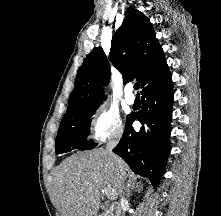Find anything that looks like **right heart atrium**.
<instances>
[{"label": "right heart atrium", "mask_w": 221, "mask_h": 216, "mask_svg": "<svg viewBox=\"0 0 221 216\" xmlns=\"http://www.w3.org/2000/svg\"><path fill=\"white\" fill-rule=\"evenodd\" d=\"M121 117L114 108L101 105L93 115L89 127V137L95 142L118 140L123 135Z\"/></svg>", "instance_id": "right-heart-atrium-1"}]
</instances>
